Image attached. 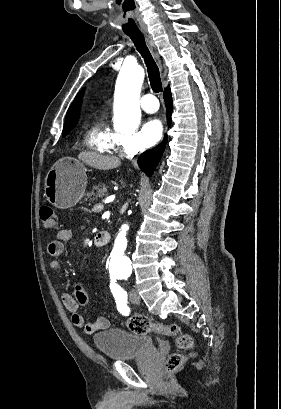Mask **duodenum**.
<instances>
[{"mask_svg": "<svg viewBox=\"0 0 281 409\" xmlns=\"http://www.w3.org/2000/svg\"><path fill=\"white\" fill-rule=\"evenodd\" d=\"M109 243V234L100 232L95 236V244L97 247H103Z\"/></svg>", "mask_w": 281, "mask_h": 409, "instance_id": "410a0bca", "label": "duodenum"}]
</instances>
